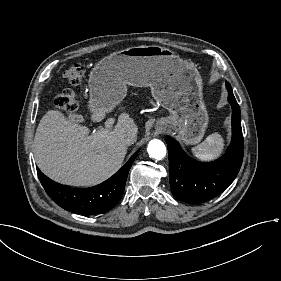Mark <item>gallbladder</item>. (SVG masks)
<instances>
[{
  "mask_svg": "<svg viewBox=\"0 0 281 281\" xmlns=\"http://www.w3.org/2000/svg\"><path fill=\"white\" fill-rule=\"evenodd\" d=\"M71 119L75 121V120H76V116H75V115H72V116H71Z\"/></svg>",
  "mask_w": 281,
  "mask_h": 281,
  "instance_id": "gallbladder-1",
  "label": "gallbladder"
}]
</instances>
